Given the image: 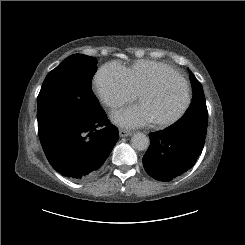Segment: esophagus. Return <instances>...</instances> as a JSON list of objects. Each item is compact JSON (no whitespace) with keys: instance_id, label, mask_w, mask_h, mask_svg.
<instances>
[{"instance_id":"obj_1","label":"esophagus","mask_w":245,"mask_h":245,"mask_svg":"<svg viewBox=\"0 0 245 245\" xmlns=\"http://www.w3.org/2000/svg\"><path fill=\"white\" fill-rule=\"evenodd\" d=\"M119 135H120V137H127V136L132 135V132L128 131V130L120 129Z\"/></svg>"}]
</instances>
